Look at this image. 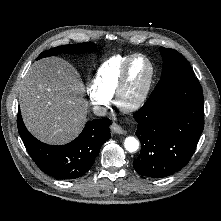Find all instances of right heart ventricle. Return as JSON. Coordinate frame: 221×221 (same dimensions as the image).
<instances>
[{"mask_svg":"<svg viewBox=\"0 0 221 221\" xmlns=\"http://www.w3.org/2000/svg\"><path fill=\"white\" fill-rule=\"evenodd\" d=\"M132 55H114L101 64L93 80V86L101 95L108 99L115 96L122 69Z\"/></svg>","mask_w":221,"mask_h":221,"instance_id":"e07e8e85","label":"right heart ventricle"}]
</instances>
